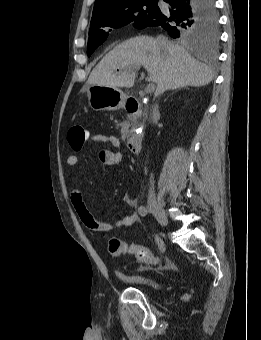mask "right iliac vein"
<instances>
[{
    "label": "right iliac vein",
    "mask_w": 261,
    "mask_h": 340,
    "mask_svg": "<svg viewBox=\"0 0 261 340\" xmlns=\"http://www.w3.org/2000/svg\"><path fill=\"white\" fill-rule=\"evenodd\" d=\"M149 209L157 219V221L162 225V226H167L168 225V218L165 213V211L162 209L161 206L158 205L157 202L155 201H149L148 202Z\"/></svg>",
    "instance_id": "right-iliac-vein-1"
}]
</instances>
